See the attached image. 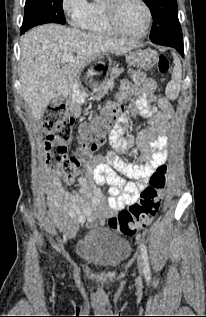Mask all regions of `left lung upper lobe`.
Listing matches in <instances>:
<instances>
[{"label":"left lung upper lobe","mask_w":206,"mask_h":317,"mask_svg":"<svg viewBox=\"0 0 206 317\" xmlns=\"http://www.w3.org/2000/svg\"><path fill=\"white\" fill-rule=\"evenodd\" d=\"M153 16V43L183 42L176 0H143Z\"/></svg>","instance_id":"5c2ea615"}]
</instances>
